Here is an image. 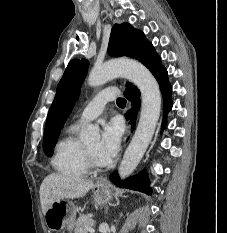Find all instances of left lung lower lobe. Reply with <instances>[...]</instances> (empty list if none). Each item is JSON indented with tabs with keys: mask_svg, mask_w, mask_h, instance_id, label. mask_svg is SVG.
Wrapping results in <instances>:
<instances>
[{
	"mask_svg": "<svg viewBox=\"0 0 227 233\" xmlns=\"http://www.w3.org/2000/svg\"><path fill=\"white\" fill-rule=\"evenodd\" d=\"M155 78L159 82L160 89L164 99V104H163L164 119L162 124V126L164 127L166 125L167 113L172 109V100H171L172 87L168 81V73L165 68H162L155 75ZM125 97L132 101L133 108L129 110L126 117L127 119L129 117L132 118L131 124L133 129L135 126L136 114L140 107V91L137 88H131L125 92ZM110 180L119 187L141 191L148 195L152 194V189L150 188L149 179L144 172L136 176L130 177L124 181H119L118 173L114 172L110 175Z\"/></svg>",
	"mask_w": 227,
	"mask_h": 233,
	"instance_id": "0a47b994",
	"label": "left lung lower lobe"
}]
</instances>
